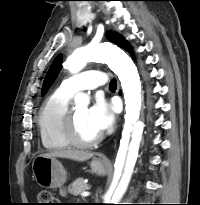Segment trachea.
Wrapping results in <instances>:
<instances>
[{
  "label": "trachea",
  "instance_id": "trachea-1",
  "mask_svg": "<svg viewBox=\"0 0 200 205\" xmlns=\"http://www.w3.org/2000/svg\"><path fill=\"white\" fill-rule=\"evenodd\" d=\"M110 88H117V82L116 79H112L110 84H109Z\"/></svg>",
  "mask_w": 200,
  "mask_h": 205
}]
</instances>
